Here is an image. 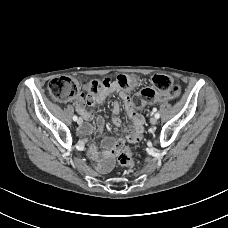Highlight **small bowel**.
<instances>
[{
	"instance_id": "1",
	"label": "small bowel",
	"mask_w": 228,
	"mask_h": 228,
	"mask_svg": "<svg viewBox=\"0 0 228 228\" xmlns=\"http://www.w3.org/2000/svg\"><path fill=\"white\" fill-rule=\"evenodd\" d=\"M110 93H118L120 98L122 99L126 114L130 120V127L128 130V134L125 139H113L111 137H107L103 135V130L105 126V121L101 116L97 117V127L98 132L102 136V146L105 150L104 159L102 161V165L105 169H109L112 167L114 159L116 155L119 153L121 148L124 146L125 142L130 143H138L143 138L144 132V119L138 114L132 105V101L125 90L120 88L119 85L113 84L110 88L101 92L98 96L92 97L87 95L86 97H80L76 101L77 111L84 119V124L80 128V133L89 134L92 131V126L90 121L93 118V114L90 111V107L94 105H101L105 101L106 97ZM112 111L115 115L120 113V105L117 101L113 103ZM113 124L115 126H120L121 121L119 118L113 119Z\"/></svg>"
}]
</instances>
